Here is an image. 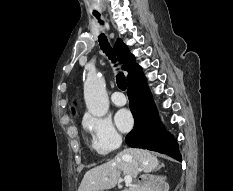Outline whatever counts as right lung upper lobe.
<instances>
[{
    "label": "right lung upper lobe",
    "instance_id": "1",
    "mask_svg": "<svg viewBox=\"0 0 233 191\" xmlns=\"http://www.w3.org/2000/svg\"><path fill=\"white\" fill-rule=\"evenodd\" d=\"M114 50L120 62L123 63L122 68L128 72V76H127L128 78L137 66L135 62V58L129 52L127 46L120 39L116 42L114 46ZM73 113H74V109H73Z\"/></svg>",
    "mask_w": 233,
    "mask_h": 191
}]
</instances>
